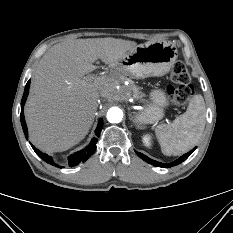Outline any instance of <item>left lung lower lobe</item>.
Here are the masks:
<instances>
[{"instance_id": "left-lung-lower-lobe-1", "label": "left lung lower lobe", "mask_w": 233, "mask_h": 233, "mask_svg": "<svg viewBox=\"0 0 233 233\" xmlns=\"http://www.w3.org/2000/svg\"><path fill=\"white\" fill-rule=\"evenodd\" d=\"M195 149H196V147L194 149H192L191 151H189L188 153L181 156L180 158H178L177 160H175L169 164L157 162L155 160L148 158L147 156H145L144 154H142L140 152H137V151H135V152L139 157H141L144 161H146L149 164H152V165L157 166V167H162V168H170V167L176 166V165L182 163L184 160H186Z\"/></svg>"}]
</instances>
